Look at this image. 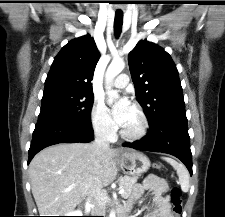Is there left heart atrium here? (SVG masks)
I'll use <instances>...</instances> for the list:
<instances>
[{
	"label": "left heart atrium",
	"instance_id": "obj_1",
	"mask_svg": "<svg viewBox=\"0 0 225 217\" xmlns=\"http://www.w3.org/2000/svg\"><path fill=\"white\" fill-rule=\"evenodd\" d=\"M131 105L127 97H121L112 107V115L115 122L123 127L129 117Z\"/></svg>",
	"mask_w": 225,
	"mask_h": 217
}]
</instances>
